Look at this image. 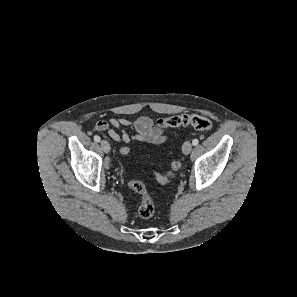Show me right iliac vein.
<instances>
[{
  "instance_id": "right-iliac-vein-1",
  "label": "right iliac vein",
  "mask_w": 297,
  "mask_h": 297,
  "mask_svg": "<svg viewBox=\"0 0 297 297\" xmlns=\"http://www.w3.org/2000/svg\"><path fill=\"white\" fill-rule=\"evenodd\" d=\"M100 144H101V148L103 149V151L105 153H109L110 152V144L106 140H102L100 142Z\"/></svg>"
}]
</instances>
